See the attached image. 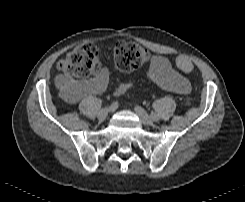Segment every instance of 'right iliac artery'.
I'll return each instance as SVG.
<instances>
[{
  "label": "right iliac artery",
  "mask_w": 245,
  "mask_h": 202,
  "mask_svg": "<svg viewBox=\"0 0 245 202\" xmlns=\"http://www.w3.org/2000/svg\"><path fill=\"white\" fill-rule=\"evenodd\" d=\"M117 107H118V102H117V101L112 102V104H111V106H110L111 111L116 110V109H117Z\"/></svg>",
  "instance_id": "1"
}]
</instances>
